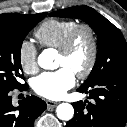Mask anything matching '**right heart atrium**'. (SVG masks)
<instances>
[{"instance_id":"d8ad5b80","label":"right heart atrium","mask_w":127,"mask_h":127,"mask_svg":"<svg viewBox=\"0 0 127 127\" xmlns=\"http://www.w3.org/2000/svg\"><path fill=\"white\" fill-rule=\"evenodd\" d=\"M18 58L24 72L34 74L38 70L37 49L29 40L21 42L18 49Z\"/></svg>"}]
</instances>
